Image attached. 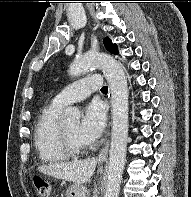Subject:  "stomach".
Returning <instances> with one entry per match:
<instances>
[{"instance_id":"0dacf381","label":"stomach","mask_w":191,"mask_h":197,"mask_svg":"<svg viewBox=\"0 0 191 197\" xmlns=\"http://www.w3.org/2000/svg\"><path fill=\"white\" fill-rule=\"evenodd\" d=\"M66 197H86V188L82 184L73 183L66 190Z\"/></svg>"}]
</instances>
